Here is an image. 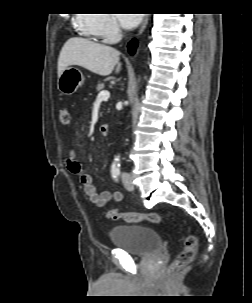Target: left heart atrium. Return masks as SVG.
Segmentation results:
<instances>
[{
    "label": "left heart atrium",
    "mask_w": 252,
    "mask_h": 303,
    "mask_svg": "<svg viewBox=\"0 0 252 303\" xmlns=\"http://www.w3.org/2000/svg\"><path fill=\"white\" fill-rule=\"evenodd\" d=\"M120 24L127 29L134 28L140 21L139 14H117Z\"/></svg>",
    "instance_id": "1"
}]
</instances>
